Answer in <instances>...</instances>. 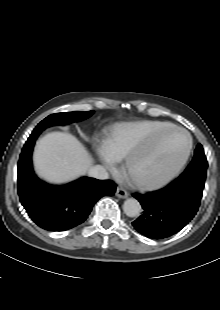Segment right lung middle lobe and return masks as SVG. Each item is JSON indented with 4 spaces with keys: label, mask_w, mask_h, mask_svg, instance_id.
<instances>
[{
    "label": "right lung middle lobe",
    "mask_w": 220,
    "mask_h": 310,
    "mask_svg": "<svg viewBox=\"0 0 220 310\" xmlns=\"http://www.w3.org/2000/svg\"><path fill=\"white\" fill-rule=\"evenodd\" d=\"M93 114V111L89 112H65V113H56L49 115L44 120H42L36 128L33 130L30 137H38V135L47 127L52 125H64L71 122L81 121Z\"/></svg>",
    "instance_id": "right-lung-middle-lobe-1"
}]
</instances>
